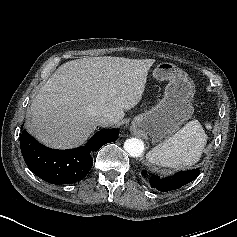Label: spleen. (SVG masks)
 <instances>
[{"label": "spleen", "instance_id": "obj_1", "mask_svg": "<svg viewBox=\"0 0 237 237\" xmlns=\"http://www.w3.org/2000/svg\"><path fill=\"white\" fill-rule=\"evenodd\" d=\"M210 128V124H206ZM207 143V135L198 120H192L175 135L149 151L147 159L155 165L179 169L196 164Z\"/></svg>", "mask_w": 237, "mask_h": 237}]
</instances>
